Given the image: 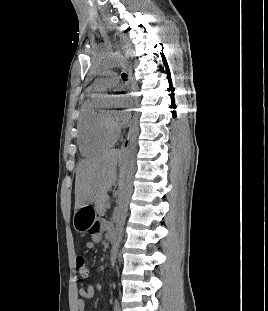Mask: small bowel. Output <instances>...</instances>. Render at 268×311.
<instances>
[{
  "mask_svg": "<svg viewBox=\"0 0 268 311\" xmlns=\"http://www.w3.org/2000/svg\"><path fill=\"white\" fill-rule=\"evenodd\" d=\"M104 229L111 230L112 227L109 223L105 221H99L95 223L91 229L90 234L91 238L86 243V248L92 250L95 246L102 240V231ZM94 287L90 284L79 283L77 287V296L75 298V307L77 311H85L86 300L93 297Z\"/></svg>",
  "mask_w": 268,
  "mask_h": 311,
  "instance_id": "small-bowel-1",
  "label": "small bowel"
}]
</instances>
